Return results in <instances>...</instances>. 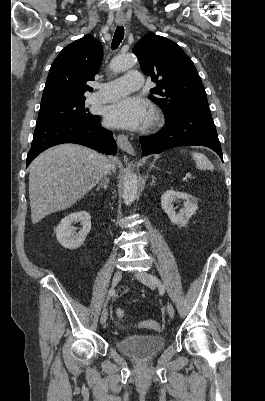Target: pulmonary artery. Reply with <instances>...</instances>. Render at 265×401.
Listing matches in <instances>:
<instances>
[{
	"instance_id": "obj_1",
	"label": "pulmonary artery",
	"mask_w": 265,
	"mask_h": 401,
	"mask_svg": "<svg viewBox=\"0 0 265 401\" xmlns=\"http://www.w3.org/2000/svg\"><path fill=\"white\" fill-rule=\"evenodd\" d=\"M121 72L122 69L115 70L116 75ZM109 79L106 83L93 82V87L101 86V88L97 95L90 98L91 102L123 101L125 95H131L135 93V90H139L142 74L140 72H128L127 75H120L119 78L111 77Z\"/></svg>"
}]
</instances>
